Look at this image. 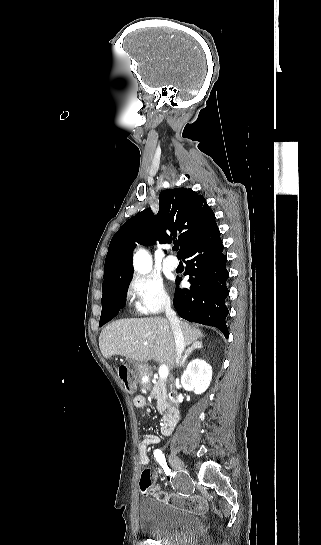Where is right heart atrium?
Masks as SVG:
<instances>
[{
	"label": "right heart atrium",
	"instance_id": "obj_1",
	"mask_svg": "<svg viewBox=\"0 0 321 545\" xmlns=\"http://www.w3.org/2000/svg\"><path fill=\"white\" fill-rule=\"evenodd\" d=\"M126 295L137 315H157L171 306L161 279L153 273L134 274L128 282Z\"/></svg>",
	"mask_w": 321,
	"mask_h": 545
}]
</instances>
